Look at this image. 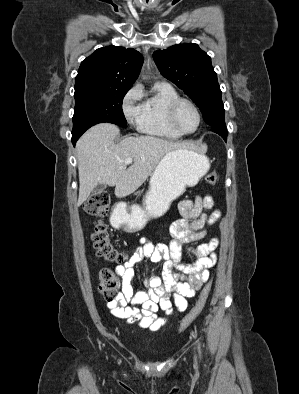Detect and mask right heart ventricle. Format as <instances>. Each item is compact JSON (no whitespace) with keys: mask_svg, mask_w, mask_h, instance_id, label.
I'll return each instance as SVG.
<instances>
[{"mask_svg":"<svg viewBox=\"0 0 299 394\" xmlns=\"http://www.w3.org/2000/svg\"><path fill=\"white\" fill-rule=\"evenodd\" d=\"M179 98L178 92L166 82H158L153 93L142 104L138 126L142 133L165 139H178L182 135L174 131L167 119L169 105Z\"/></svg>","mask_w":299,"mask_h":394,"instance_id":"right-heart-ventricle-1","label":"right heart ventricle"}]
</instances>
